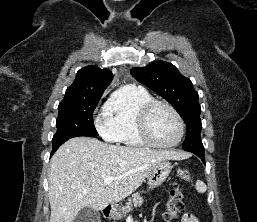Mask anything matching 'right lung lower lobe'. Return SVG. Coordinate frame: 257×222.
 <instances>
[{
	"mask_svg": "<svg viewBox=\"0 0 257 222\" xmlns=\"http://www.w3.org/2000/svg\"><path fill=\"white\" fill-rule=\"evenodd\" d=\"M59 147L53 148L52 152H51V156L55 153V151L58 149Z\"/></svg>",
	"mask_w": 257,
	"mask_h": 222,
	"instance_id": "obj_1",
	"label": "right lung lower lobe"
}]
</instances>
